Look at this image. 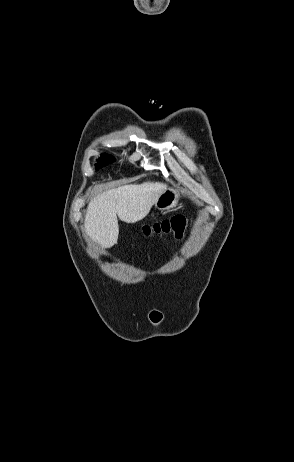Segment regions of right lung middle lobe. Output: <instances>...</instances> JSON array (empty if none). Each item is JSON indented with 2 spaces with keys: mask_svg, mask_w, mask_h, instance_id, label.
<instances>
[{
  "mask_svg": "<svg viewBox=\"0 0 294 462\" xmlns=\"http://www.w3.org/2000/svg\"><path fill=\"white\" fill-rule=\"evenodd\" d=\"M101 158H107V159H109V160H111V161H114V159H113L112 157H110V156L108 157V156H106V155H102Z\"/></svg>",
  "mask_w": 294,
  "mask_h": 462,
  "instance_id": "obj_1",
  "label": "right lung middle lobe"
}]
</instances>
